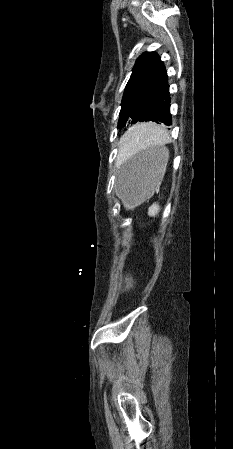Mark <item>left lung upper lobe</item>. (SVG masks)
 Returning a JSON list of instances; mask_svg holds the SVG:
<instances>
[{"mask_svg": "<svg viewBox=\"0 0 233 449\" xmlns=\"http://www.w3.org/2000/svg\"><path fill=\"white\" fill-rule=\"evenodd\" d=\"M167 86L168 76L160 57L155 52L143 53L125 87L117 127L145 121L147 110Z\"/></svg>", "mask_w": 233, "mask_h": 449, "instance_id": "left-lung-upper-lobe-1", "label": "left lung upper lobe"}]
</instances>
